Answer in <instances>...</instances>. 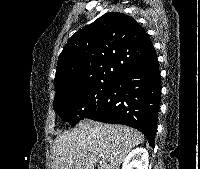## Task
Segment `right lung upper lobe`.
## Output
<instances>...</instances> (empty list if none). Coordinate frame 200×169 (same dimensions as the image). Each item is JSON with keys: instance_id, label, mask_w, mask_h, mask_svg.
Instances as JSON below:
<instances>
[{"instance_id": "obj_1", "label": "right lung upper lobe", "mask_w": 200, "mask_h": 169, "mask_svg": "<svg viewBox=\"0 0 200 169\" xmlns=\"http://www.w3.org/2000/svg\"><path fill=\"white\" fill-rule=\"evenodd\" d=\"M156 60L149 35L134 18L107 13L77 31L63 48L57 63L54 100L95 81L117 79Z\"/></svg>"}]
</instances>
